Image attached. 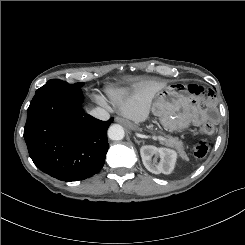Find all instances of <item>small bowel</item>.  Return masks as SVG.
I'll list each match as a JSON object with an SVG mask.
<instances>
[{"instance_id":"small-bowel-1","label":"small bowel","mask_w":245,"mask_h":245,"mask_svg":"<svg viewBox=\"0 0 245 245\" xmlns=\"http://www.w3.org/2000/svg\"><path fill=\"white\" fill-rule=\"evenodd\" d=\"M189 95L193 99L204 101L208 106H214L218 102V96L214 90L204 88L198 84L192 83L187 87ZM207 118V113L199 108H196L194 121L196 124H201Z\"/></svg>"}]
</instances>
